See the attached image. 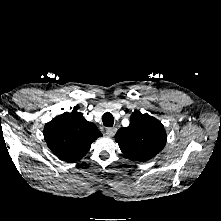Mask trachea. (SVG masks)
I'll return each instance as SVG.
<instances>
[{
  "label": "trachea",
  "instance_id": "3493384b",
  "mask_svg": "<svg viewBox=\"0 0 221 221\" xmlns=\"http://www.w3.org/2000/svg\"><path fill=\"white\" fill-rule=\"evenodd\" d=\"M102 120H103L104 126H106V127H111L114 124V118H113V115L110 112H106L103 115Z\"/></svg>",
  "mask_w": 221,
  "mask_h": 221
}]
</instances>
